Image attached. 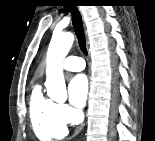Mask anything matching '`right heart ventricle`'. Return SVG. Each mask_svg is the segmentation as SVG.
<instances>
[{
  "instance_id": "e07e8e85",
  "label": "right heart ventricle",
  "mask_w": 155,
  "mask_h": 141,
  "mask_svg": "<svg viewBox=\"0 0 155 141\" xmlns=\"http://www.w3.org/2000/svg\"><path fill=\"white\" fill-rule=\"evenodd\" d=\"M29 114L35 135L43 141L59 139L66 135V124L58 114V104L46 97L36 85L29 98Z\"/></svg>"
}]
</instances>
